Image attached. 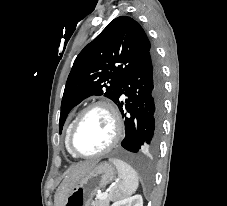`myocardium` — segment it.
Instances as JSON below:
<instances>
[{
	"label": "myocardium",
	"instance_id": "f54148a6",
	"mask_svg": "<svg viewBox=\"0 0 227 206\" xmlns=\"http://www.w3.org/2000/svg\"><path fill=\"white\" fill-rule=\"evenodd\" d=\"M96 108H103L109 113V115L112 119V123H113V130H114L113 137H112L110 143L102 150H100L96 153H93V154H81L78 151H76V149L74 148V144H73L74 136H75L76 130H77L79 124L81 123L82 119L84 118V116L88 112H90L91 110L96 109ZM122 135H123V123H122V118H121L119 110L111 101L105 100V99H99V100H96V101L90 103L77 115V117L69 131V134H68L67 148H68L69 152L72 155H74L75 157L95 158V157H99V156H102V155L108 153L114 147H116V145L120 142Z\"/></svg>",
	"mask_w": 227,
	"mask_h": 206
}]
</instances>
